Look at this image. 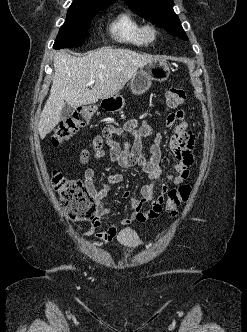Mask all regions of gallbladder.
I'll use <instances>...</instances> for the list:
<instances>
[{"mask_svg":"<svg viewBox=\"0 0 247 332\" xmlns=\"http://www.w3.org/2000/svg\"><path fill=\"white\" fill-rule=\"evenodd\" d=\"M74 107L68 105L67 103L64 104L63 108H62V113H61V117L63 119L69 117L73 112H74Z\"/></svg>","mask_w":247,"mask_h":332,"instance_id":"gallbladder-1","label":"gallbladder"}]
</instances>
